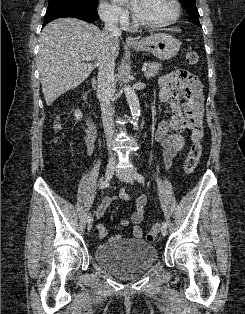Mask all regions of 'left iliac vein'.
Listing matches in <instances>:
<instances>
[{
    "mask_svg": "<svg viewBox=\"0 0 245 314\" xmlns=\"http://www.w3.org/2000/svg\"><path fill=\"white\" fill-rule=\"evenodd\" d=\"M119 176L126 183H129V184H133L134 183V178H133V176L130 173H121V174H119ZM161 234L163 236L167 235V229L165 227H163V226L161 228Z\"/></svg>",
    "mask_w": 245,
    "mask_h": 314,
    "instance_id": "4c4485c4",
    "label": "left iliac vein"
}]
</instances>
